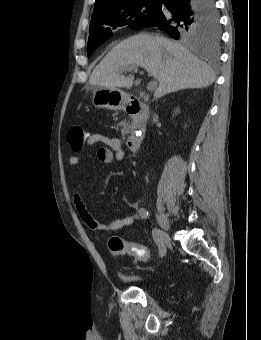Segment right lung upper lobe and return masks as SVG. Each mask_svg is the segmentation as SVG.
I'll list each match as a JSON object with an SVG mask.
<instances>
[{
	"label": "right lung upper lobe",
	"instance_id": "cb5924a9",
	"mask_svg": "<svg viewBox=\"0 0 261 340\" xmlns=\"http://www.w3.org/2000/svg\"><path fill=\"white\" fill-rule=\"evenodd\" d=\"M145 0H96L91 21H96L118 8Z\"/></svg>",
	"mask_w": 261,
	"mask_h": 340
}]
</instances>
